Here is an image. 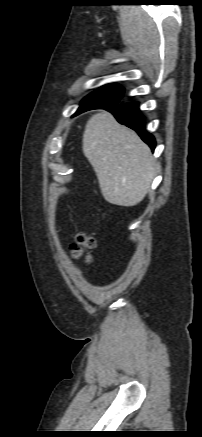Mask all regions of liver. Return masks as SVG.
<instances>
[{
	"label": "liver",
	"mask_w": 202,
	"mask_h": 437,
	"mask_svg": "<svg viewBox=\"0 0 202 437\" xmlns=\"http://www.w3.org/2000/svg\"><path fill=\"white\" fill-rule=\"evenodd\" d=\"M83 153L107 202L131 207L144 199L156 173L155 160L140 137L111 113L102 110L88 120Z\"/></svg>",
	"instance_id": "obj_1"
}]
</instances>
